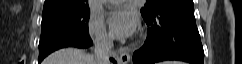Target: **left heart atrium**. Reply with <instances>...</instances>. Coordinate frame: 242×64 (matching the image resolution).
I'll list each match as a JSON object with an SVG mask.
<instances>
[{
  "label": "left heart atrium",
  "instance_id": "39dd6f15",
  "mask_svg": "<svg viewBox=\"0 0 242 64\" xmlns=\"http://www.w3.org/2000/svg\"><path fill=\"white\" fill-rule=\"evenodd\" d=\"M137 24L136 14L129 9L117 10L109 18L111 34L119 39L132 36L136 31Z\"/></svg>",
  "mask_w": 242,
  "mask_h": 64
}]
</instances>
